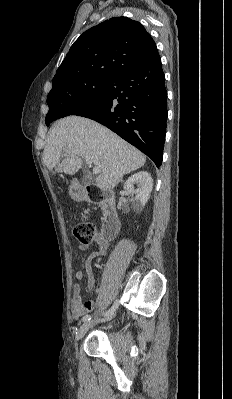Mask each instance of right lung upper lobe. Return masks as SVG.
Listing matches in <instances>:
<instances>
[{"label": "right lung upper lobe", "mask_w": 232, "mask_h": 399, "mask_svg": "<svg viewBox=\"0 0 232 399\" xmlns=\"http://www.w3.org/2000/svg\"><path fill=\"white\" fill-rule=\"evenodd\" d=\"M157 51L138 21L113 17L85 31L71 46L52 80L48 95L91 79L111 78Z\"/></svg>", "instance_id": "cb5924a9"}]
</instances>
